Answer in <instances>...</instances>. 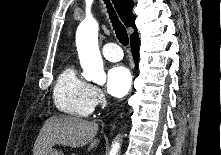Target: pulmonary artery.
<instances>
[{
    "label": "pulmonary artery",
    "instance_id": "pulmonary-artery-1",
    "mask_svg": "<svg viewBox=\"0 0 221 155\" xmlns=\"http://www.w3.org/2000/svg\"><path fill=\"white\" fill-rule=\"evenodd\" d=\"M103 56L109 61H119L123 57V53L119 45L116 43H107L102 48Z\"/></svg>",
    "mask_w": 221,
    "mask_h": 155
}]
</instances>
